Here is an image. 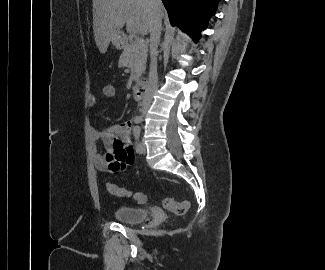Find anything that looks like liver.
I'll list each match as a JSON object with an SVG mask.
<instances>
[{"mask_svg": "<svg viewBox=\"0 0 325 270\" xmlns=\"http://www.w3.org/2000/svg\"><path fill=\"white\" fill-rule=\"evenodd\" d=\"M162 18L163 6L158 7ZM152 8L148 0H93V31L100 53L107 51L113 38L126 23L129 34L147 35L152 27Z\"/></svg>", "mask_w": 325, "mask_h": 270, "instance_id": "6515ba94", "label": "liver"}]
</instances>
